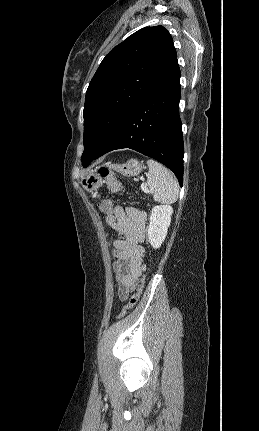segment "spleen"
Masks as SVG:
<instances>
[{
	"mask_svg": "<svg viewBox=\"0 0 259 431\" xmlns=\"http://www.w3.org/2000/svg\"><path fill=\"white\" fill-rule=\"evenodd\" d=\"M147 165L149 171L146 185L153 194L154 200L164 204L176 202L179 195V187L173 174L161 163L153 159L147 160Z\"/></svg>",
	"mask_w": 259,
	"mask_h": 431,
	"instance_id": "3e777b00",
	"label": "spleen"
}]
</instances>
